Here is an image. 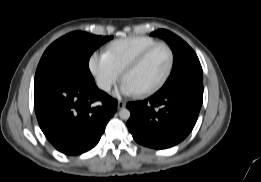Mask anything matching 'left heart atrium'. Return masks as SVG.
Segmentation results:
<instances>
[{
    "mask_svg": "<svg viewBox=\"0 0 261 182\" xmlns=\"http://www.w3.org/2000/svg\"><path fill=\"white\" fill-rule=\"evenodd\" d=\"M136 93L137 92L126 81H123L119 88V91L116 94L133 95Z\"/></svg>",
    "mask_w": 261,
    "mask_h": 182,
    "instance_id": "obj_1",
    "label": "left heart atrium"
}]
</instances>
